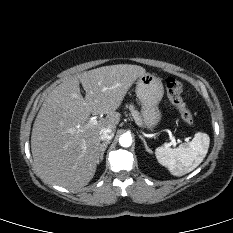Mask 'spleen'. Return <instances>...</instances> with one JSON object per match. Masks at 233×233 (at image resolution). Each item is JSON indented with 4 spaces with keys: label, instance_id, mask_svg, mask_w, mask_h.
<instances>
[{
    "label": "spleen",
    "instance_id": "3e777b00",
    "mask_svg": "<svg viewBox=\"0 0 233 233\" xmlns=\"http://www.w3.org/2000/svg\"><path fill=\"white\" fill-rule=\"evenodd\" d=\"M210 138L206 133L197 132L188 144L177 148L161 146L155 149L158 162L167 167L174 176H183L193 171L205 158Z\"/></svg>",
    "mask_w": 233,
    "mask_h": 233
}]
</instances>
